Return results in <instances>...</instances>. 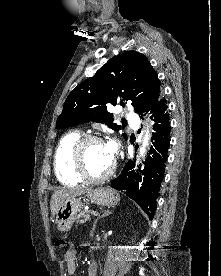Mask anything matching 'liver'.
Returning <instances> with one entry per match:
<instances>
[{
  "instance_id": "6515ba94",
  "label": "liver",
  "mask_w": 221,
  "mask_h": 276,
  "mask_svg": "<svg viewBox=\"0 0 221 276\" xmlns=\"http://www.w3.org/2000/svg\"><path fill=\"white\" fill-rule=\"evenodd\" d=\"M88 188H68L57 190L53 193L50 201V209L53 216L57 214L58 208L63 201L90 192Z\"/></svg>"
}]
</instances>
